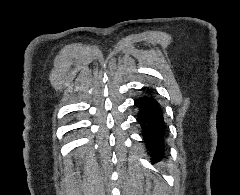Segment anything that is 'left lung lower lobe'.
Wrapping results in <instances>:
<instances>
[{
  "instance_id": "0a47b994",
  "label": "left lung lower lobe",
  "mask_w": 240,
  "mask_h": 195,
  "mask_svg": "<svg viewBox=\"0 0 240 195\" xmlns=\"http://www.w3.org/2000/svg\"><path fill=\"white\" fill-rule=\"evenodd\" d=\"M143 96L134 101L138 108L137 121L141 125L144 142L150 154L164 151L165 122L163 111L152 90L143 88Z\"/></svg>"
}]
</instances>
